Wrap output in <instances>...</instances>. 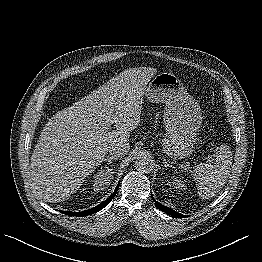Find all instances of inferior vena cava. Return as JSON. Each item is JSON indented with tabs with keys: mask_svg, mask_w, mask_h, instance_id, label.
Wrapping results in <instances>:
<instances>
[{
	"mask_svg": "<svg viewBox=\"0 0 262 262\" xmlns=\"http://www.w3.org/2000/svg\"><path fill=\"white\" fill-rule=\"evenodd\" d=\"M129 149V143L121 141L111 145L109 147V153L112 157L119 158L125 156L129 152Z\"/></svg>",
	"mask_w": 262,
	"mask_h": 262,
	"instance_id": "602c4592",
	"label": "inferior vena cava"
}]
</instances>
